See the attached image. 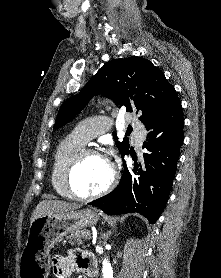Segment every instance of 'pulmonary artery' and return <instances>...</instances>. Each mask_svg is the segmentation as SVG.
Returning a JSON list of instances; mask_svg holds the SVG:
<instances>
[{
  "label": "pulmonary artery",
  "mask_w": 221,
  "mask_h": 278,
  "mask_svg": "<svg viewBox=\"0 0 221 278\" xmlns=\"http://www.w3.org/2000/svg\"><path fill=\"white\" fill-rule=\"evenodd\" d=\"M106 125L107 120L105 119L83 122L76 126L72 135L85 144L97 135L104 133L106 131ZM132 126L138 132L136 141L140 144L143 140L144 129L139 122L133 123Z\"/></svg>",
  "instance_id": "e3ab8cb5"
}]
</instances>
